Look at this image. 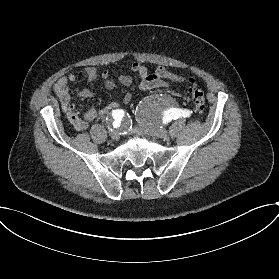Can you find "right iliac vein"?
Instances as JSON below:
<instances>
[{"instance_id":"63e3f726","label":"right iliac vein","mask_w":279,"mask_h":279,"mask_svg":"<svg viewBox=\"0 0 279 279\" xmlns=\"http://www.w3.org/2000/svg\"><path fill=\"white\" fill-rule=\"evenodd\" d=\"M109 135L113 140H118L119 134L116 129H111V131H109Z\"/></svg>"}]
</instances>
